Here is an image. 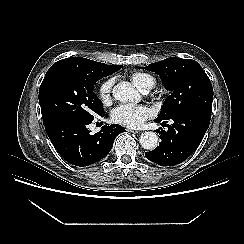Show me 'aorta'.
Instances as JSON below:
<instances>
[{
    "mask_svg": "<svg viewBox=\"0 0 244 244\" xmlns=\"http://www.w3.org/2000/svg\"><path fill=\"white\" fill-rule=\"evenodd\" d=\"M113 97L123 103L139 102V93L128 82H120L113 87ZM140 145L146 150H153L158 145V136L155 132L147 131L140 136Z\"/></svg>",
    "mask_w": 244,
    "mask_h": 244,
    "instance_id": "1",
    "label": "aorta"
}]
</instances>
